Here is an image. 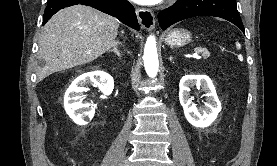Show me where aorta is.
Here are the masks:
<instances>
[{
    "instance_id": "aorta-1",
    "label": "aorta",
    "mask_w": 277,
    "mask_h": 166,
    "mask_svg": "<svg viewBox=\"0 0 277 166\" xmlns=\"http://www.w3.org/2000/svg\"><path fill=\"white\" fill-rule=\"evenodd\" d=\"M144 66L146 73L149 77H156L159 68L156 39L154 35H150L147 38L145 48H144Z\"/></svg>"
}]
</instances>
